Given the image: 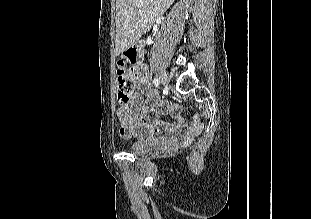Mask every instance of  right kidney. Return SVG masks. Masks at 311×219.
<instances>
[{
  "instance_id": "right-kidney-1",
  "label": "right kidney",
  "mask_w": 311,
  "mask_h": 219,
  "mask_svg": "<svg viewBox=\"0 0 311 219\" xmlns=\"http://www.w3.org/2000/svg\"><path fill=\"white\" fill-rule=\"evenodd\" d=\"M151 43H152V42H151V39L148 38L147 41H146V44H147V45H150Z\"/></svg>"
}]
</instances>
